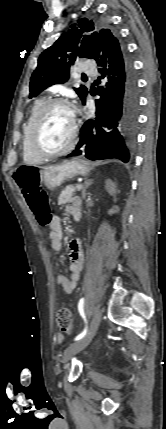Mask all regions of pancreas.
<instances>
[{
    "label": "pancreas",
    "mask_w": 166,
    "mask_h": 429,
    "mask_svg": "<svg viewBox=\"0 0 166 429\" xmlns=\"http://www.w3.org/2000/svg\"><path fill=\"white\" fill-rule=\"evenodd\" d=\"M76 188L73 186H66L58 198V205H64L69 202L74 196Z\"/></svg>",
    "instance_id": "obj_1"
}]
</instances>
